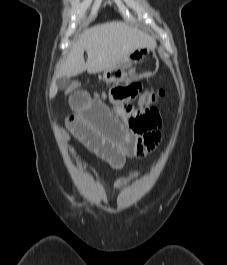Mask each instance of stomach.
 Returning a JSON list of instances; mask_svg holds the SVG:
<instances>
[{
  "instance_id": "0dacf381",
  "label": "stomach",
  "mask_w": 227,
  "mask_h": 265,
  "mask_svg": "<svg viewBox=\"0 0 227 265\" xmlns=\"http://www.w3.org/2000/svg\"><path fill=\"white\" fill-rule=\"evenodd\" d=\"M159 60L154 48L141 47L133 51L115 67L103 71L106 83H124L148 78L156 74Z\"/></svg>"
}]
</instances>
